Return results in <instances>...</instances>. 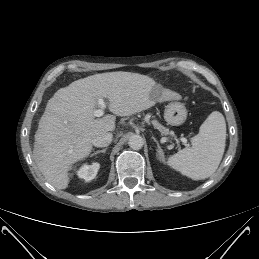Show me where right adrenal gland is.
Returning <instances> with one entry per match:
<instances>
[{
  "instance_id": "1",
  "label": "right adrenal gland",
  "mask_w": 259,
  "mask_h": 259,
  "mask_svg": "<svg viewBox=\"0 0 259 259\" xmlns=\"http://www.w3.org/2000/svg\"><path fill=\"white\" fill-rule=\"evenodd\" d=\"M106 150H107V148L102 149V150H97V151L93 152V153L90 155V157H92V156H94V155H97V154H99V153H105Z\"/></svg>"
}]
</instances>
